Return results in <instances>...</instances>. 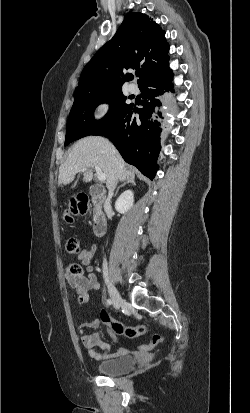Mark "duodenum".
Segmentation results:
<instances>
[{"instance_id": "1", "label": "duodenum", "mask_w": 250, "mask_h": 413, "mask_svg": "<svg viewBox=\"0 0 250 413\" xmlns=\"http://www.w3.org/2000/svg\"><path fill=\"white\" fill-rule=\"evenodd\" d=\"M91 198L96 209L92 227L93 233L95 236H102L107 229V218L102 210L104 195L100 192H92Z\"/></svg>"}]
</instances>
